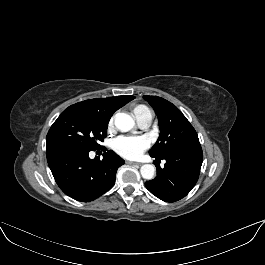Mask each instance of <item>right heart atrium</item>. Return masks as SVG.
Wrapping results in <instances>:
<instances>
[{"instance_id": "1", "label": "right heart atrium", "mask_w": 265, "mask_h": 265, "mask_svg": "<svg viewBox=\"0 0 265 265\" xmlns=\"http://www.w3.org/2000/svg\"><path fill=\"white\" fill-rule=\"evenodd\" d=\"M113 124H114V117L112 116V117L109 119V121H108V128H112Z\"/></svg>"}]
</instances>
